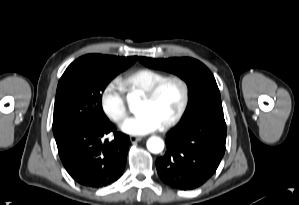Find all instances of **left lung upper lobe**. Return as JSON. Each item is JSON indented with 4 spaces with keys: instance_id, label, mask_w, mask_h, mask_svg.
I'll use <instances>...</instances> for the list:
<instances>
[{
    "instance_id": "1",
    "label": "left lung upper lobe",
    "mask_w": 299,
    "mask_h": 205,
    "mask_svg": "<svg viewBox=\"0 0 299 205\" xmlns=\"http://www.w3.org/2000/svg\"><path fill=\"white\" fill-rule=\"evenodd\" d=\"M138 60L147 67L172 72L188 84L190 98L181 121L190 122L209 113L223 111L214 76L200 61L188 57L169 59L139 57Z\"/></svg>"
}]
</instances>
